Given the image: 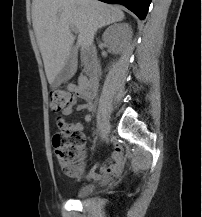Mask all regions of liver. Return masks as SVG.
<instances>
[{
  "label": "liver",
  "instance_id": "obj_1",
  "mask_svg": "<svg viewBox=\"0 0 202 217\" xmlns=\"http://www.w3.org/2000/svg\"><path fill=\"white\" fill-rule=\"evenodd\" d=\"M124 19L123 11L98 0H33L32 21L48 82L63 69L79 31L78 46L93 42L99 28Z\"/></svg>",
  "mask_w": 202,
  "mask_h": 217
}]
</instances>
